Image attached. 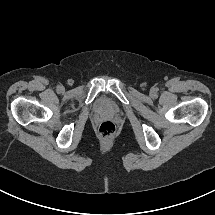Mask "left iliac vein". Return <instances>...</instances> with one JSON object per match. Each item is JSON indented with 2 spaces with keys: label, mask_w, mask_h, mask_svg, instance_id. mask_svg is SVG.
I'll return each mask as SVG.
<instances>
[{
  "label": "left iliac vein",
  "mask_w": 215,
  "mask_h": 215,
  "mask_svg": "<svg viewBox=\"0 0 215 215\" xmlns=\"http://www.w3.org/2000/svg\"><path fill=\"white\" fill-rule=\"evenodd\" d=\"M150 93H151L152 96H155V95H156V92H155L154 89H152Z\"/></svg>",
  "instance_id": "1"
}]
</instances>
